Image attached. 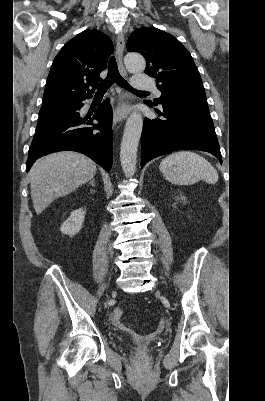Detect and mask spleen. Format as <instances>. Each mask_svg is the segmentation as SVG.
<instances>
[{
	"label": "spleen",
	"mask_w": 265,
	"mask_h": 401,
	"mask_svg": "<svg viewBox=\"0 0 265 401\" xmlns=\"http://www.w3.org/2000/svg\"><path fill=\"white\" fill-rule=\"evenodd\" d=\"M160 170L172 184H185V186L198 180L215 184L219 178L216 168L204 156L191 150L172 152L161 160Z\"/></svg>",
	"instance_id": "1"
}]
</instances>
